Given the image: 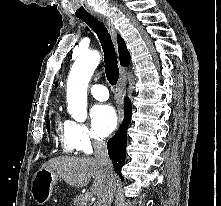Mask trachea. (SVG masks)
<instances>
[{
    "label": "trachea",
    "mask_w": 221,
    "mask_h": 206,
    "mask_svg": "<svg viewBox=\"0 0 221 206\" xmlns=\"http://www.w3.org/2000/svg\"><path fill=\"white\" fill-rule=\"evenodd\" d=\"M79 18L97 34L104 52L105 73L107 80L111 85H116L119 79L118 61L113 42L107 28L102 22L91 15L80 16Z\"/></svg>",
    "instance_id": "3493384b"
}]
</instances>
